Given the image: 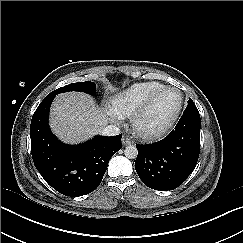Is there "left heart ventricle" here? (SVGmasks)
<instances>
[{"label":"left heart ventricle","mask_w":243,"mask_h":243,"mask_svg":"<svg viewBox=\"0 0 243 243\" xmlns=\"http://www.w3.org/2000/svg\"><path fill=\"white\" fill-rule=\"evenodd\" d=\"M180 103V93L169 90L162 93L140 121L144 130H155L165 125L176 113Z\"/></svg>","instance_id":"left-heart-ventricle-1"}]
</instances>
